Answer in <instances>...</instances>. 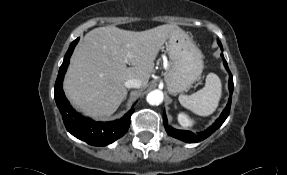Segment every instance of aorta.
Masks as SVG:
<instances>
[{
  "instance_id": "obj_1",
  "label": "aorta",
  "mask_w": 287,
  "mask_h": 175,
  "mask_svg": "<svg viewBox=\"0 0 287 175\" xmlns=\"http://www.w3.org/2000/svg\"><path fill=\"white\" fill-rule=\"evenodd\" d=\"M146 100L150 105H159L163 101V92L160 90H153L148 93Z\"/></svg>"
}]
</instances>
